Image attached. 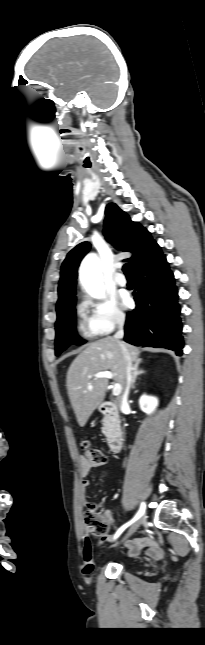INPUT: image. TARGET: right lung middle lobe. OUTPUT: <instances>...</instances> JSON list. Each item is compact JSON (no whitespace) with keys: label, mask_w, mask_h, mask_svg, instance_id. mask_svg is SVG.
Listing matches in <instances>:
<instances>
[{"label":"right lung middle lobe","mask_w":205,"mask_h":645,"mask_svg":"<svg viewBox=\"0 0 205 645\" xmlns=\"http://www.w3.org/2000/svg\"><path fill=\"white\" fill-rule=\"evenodd\" d=\"M75 301L65 310L57 314L56 327V340H55V354L58 356L70 344L81 345L84 342L80 341L76 336L75 326Z\"/></svg>","instance_id":"right-lung-middle-lobe-1"}]
</instances>
